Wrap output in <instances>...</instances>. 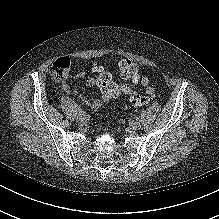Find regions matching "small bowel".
Listing matches in <instances>:
<instances>
[{"label": "small bowel", "mask_w": 219, "mask_h": 219, "mask_svg": "<svg viewBox=\"0 0 219 219\" xmlns=\"http://www.w3.org/2000/svg\"><path fill=\"white\" fill-rule=\"evenodd\" d=\"M101 68L100 66H96L94 65L91 68L92 73L94 74L93 70L94 69H98ZM102 69V68H101ZM95 75V74H94ZM86 77L85 83L86 86L88 87H93L96 85V79L95 76L92 75H87L85 71H80L79 73H77L74 76L75 80L78 79H82ZM134 83H140L142 86L147 87L146 91H151L153 90L151 87H149V79L147 77H141L140 75L138 76V78L136 80H134ZM62 90L67 93V94H74L76 95L78 98H80L85 104H87L88 106H90L92 109H98L100 108V106L102 105V101L100 99L97 98H91V97H85L83 95H81L80 93H78L77 91H74L69 84H62L61 85Z\"/></svg>", "instance_id": "obj_1"}]
</instances>
